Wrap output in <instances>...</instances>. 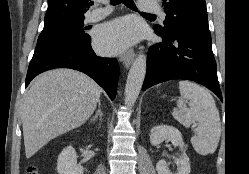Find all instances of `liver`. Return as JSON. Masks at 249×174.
Listing matches in <instances>:
<instances>
[{
    "mask_svg": "<svg viewBox=\"0 0 249 174\" xmlns=\"http://www.w3.org/2000/svg\"><path fill=\"white\" fill-rule=\"evenodd\" d=\"M101 92L90 77L72 69H55L37 77L22 108L26 158L50 140L83 125Z\"/></svg>",
    "mask_w": 249,
    "mask_h": 174,
    "instance_id": "1",
    "label": "liver"
}]
</instances>
